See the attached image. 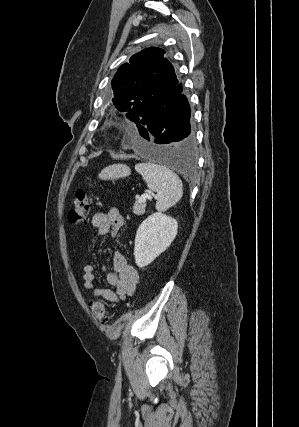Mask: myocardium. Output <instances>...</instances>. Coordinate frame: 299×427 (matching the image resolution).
<instances>
[{
    "mask_svg": "<svg viewBox=\"0 0 299 427\" xmlns=\"http://www.w3.org/2000/svg\"><path fill=\"white\" fill-rule=\"evenodd\" d=\"M116 133H117V129H116L114 126H111V127L108 129V134H109L110 136H115V135H116Z\"/></svg>",
    "mask_w": 299,
    "mask_h": 427,
    "instance_id": "myocardium-1",
    "label": "myocardium"
}]
</instances>
